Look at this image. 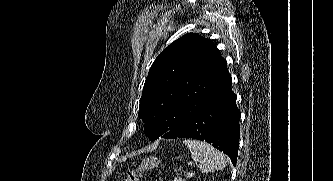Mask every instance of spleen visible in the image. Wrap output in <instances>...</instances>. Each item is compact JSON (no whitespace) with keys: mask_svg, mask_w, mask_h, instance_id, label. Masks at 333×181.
Returning a JSON list of instances; mask_svg holds the SVG:
<instances>
[{"mask_svg":"<svg viewBox=\"0 0 333 181\" xmlns=\"http://www.w3.org/2000/svg\"><path fill=\"white\" fill-rule=\"evenodd\" d=\"M183 143L189 148L191 157L199 162L202 173L222 170L226 167L225 156L206 142L198 140H184Z\"/></svg>","mask_w":333,"mask_h":181,"instance_id":"obj_1","label":"spleen"}]
</instances>
